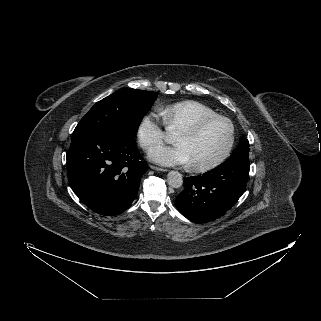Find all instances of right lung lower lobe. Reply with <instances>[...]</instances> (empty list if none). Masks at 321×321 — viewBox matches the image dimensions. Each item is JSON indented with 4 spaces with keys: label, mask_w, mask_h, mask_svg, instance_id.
Wrapping results in <instances>:
<instances>
[{
    "label": "right lung lower lobe",
    "mask_w": 321,
    "mask_h": 321,
    "mask_svg": "<svg viewBox=\"0 0 321 321\" xmlns=\"http://www.w3.org/2000/svg\"><path fill=\"white\" fill-rule=\"evenodd\" d=\"M147 168L135 138L121 133L72 136L67 153L69 184L81 202L100 215L126 210Z\"/></svg>",
    "instance_id": "1"
}]
</instances>
